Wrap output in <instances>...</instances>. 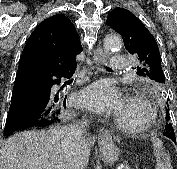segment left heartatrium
Instances as JSON below:
<instances>
[{"label": "left heart atrium", "mask_w": 177, "mask_h": 169, "mask_svg": "<svg viewBox=\"0 0 177 169\" xmlns=\"http://www.w3.org/2000/svg\"><path fill=\"white\" fill-rule=\"evenodd\" d=\"M79 104L96 113H118L124 101L116 88L106 81H98L80 93Z\"/></svg>", "instance_id": "obj_1"}]
</instances>
